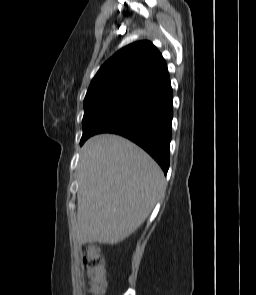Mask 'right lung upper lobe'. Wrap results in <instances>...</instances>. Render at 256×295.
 <instances>
[{"label": "right lung upper lobe", "instance_id": "obj_1", "mask_svg": "<svg viewBox=\"0 0 256 295\" xmlns=\"http://www.w3.org/2000/svg\"><path fill=\"white\" fill-rule=\"evenodd\" d=\"M168 72L166 62L149 41L130 44L108 59L93 78L84 107L123 95H138Z\"/></svg>", "mask_w": 256, "mask_h": 295}]
</instances>
